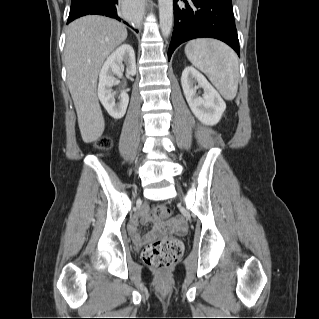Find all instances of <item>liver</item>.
<instances>
[{
	"label": "liver",
	"mask_w": 319,
	"mask_h": 319,
	"mask_svg": "<svg viewBox=\"0 0 319 319\" xmlns=\"http://www.w3.org/2000/svg\"><path fill=\"white\" fill-rule=\"evenodd\" d=\"M126 38L125 25L99 15L81 17L67 28V83L85 143L94 142L103 134L105 123L96 92L98 74L108 55Z\"/></svg>",
	"instance_id": "1"
}]
</instances>
